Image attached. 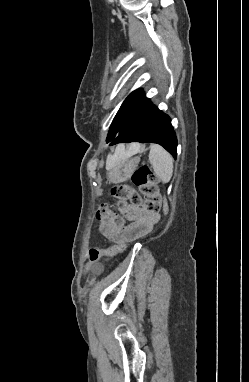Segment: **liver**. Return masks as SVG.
<instances>
[{"mask_svg": "<svg viewBox=\"0 0 249 382\" xmlns=\"http://www.w3.org/2000/svg\"><path fill=\"white\" fill-rule=\"evenodd\" d=\"M139 150H140L139 144H133L130 147L129 151H127V152L125 151L124 146H119L116 148L114 158H116V159L117 158H128V157L132 156L133 154L137 153ZM112 159H113V156L108 157L107 163H106V168H109Z\"/></svg>", "mask_w": 249, "mask_h": 382, "instance_id": "liver-1", "label": "liver"}]
</instances>
